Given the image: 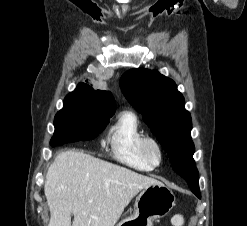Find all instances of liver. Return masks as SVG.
Returning <instances> with one entry per match:
<instances>
[{"label":"liver","mask_w":247,"mask_h":226,"mask_svg":"<svg viewBox=\"0 0 247 226\" xmlns=\"http://www.w3.org/2000/svg\"><path fill=\"white\" fill-rule=\"evenodd\" d=\"M156 183L160 182L83 152L62 151L46 174L48 226H114L132 198Z\"/></svg>","instance_id":"6515ba94"}]
</instances>
